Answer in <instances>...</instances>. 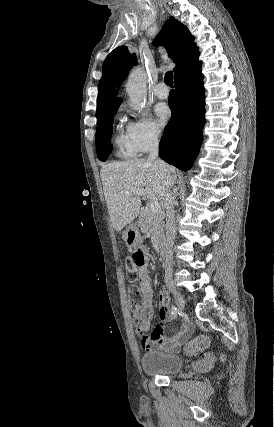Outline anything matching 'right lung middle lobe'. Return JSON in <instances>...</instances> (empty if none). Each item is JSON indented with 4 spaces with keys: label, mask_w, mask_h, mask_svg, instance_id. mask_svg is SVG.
Here are the masks:
<instances>
[{
    "label": "right lung middle lobe",
    "mask_w": 274,
    "mask_h": 427,
    "mask_svg": "<svg viewBox=\"0 0 274 427\" xmlns=\"http://www.w3.org/2000/svg\"><path fill=\"white\" fill-rule=\"evenodd\" d=\"M119 105L120 103L96 113V148L98 158L101 161H105L112 150V147L110 145V138L113 130L112 119Z\"/></svg>",
    "instance_id": "1"
}]
</instances>
